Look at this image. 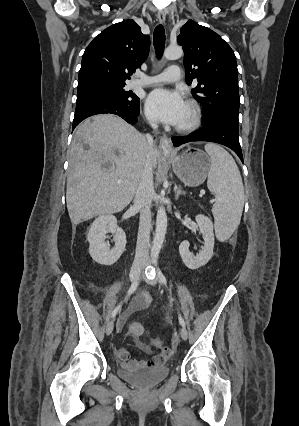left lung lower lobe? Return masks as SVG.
<instances>
[{"label": "left lung lower lobe", "mask_w": 299, "mask_h": 426, "mask_svg": "<svg viewBox=\"0 0 299 426\" xmlns=\"http://www.w3.org/2000/svg\"><path fill=\"white\" fill-rule=\"evenodd\" d=\"M238 137L239 127L237 124L227 119L216 118L204 120L203 127L193 134L182 137H172V142L176 147L191 141L219 143L231 148L243 162L242 150Z\"/></svg>", "instance_id": "left-lung-lower-lobe-1"}]
</instances>
